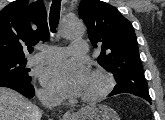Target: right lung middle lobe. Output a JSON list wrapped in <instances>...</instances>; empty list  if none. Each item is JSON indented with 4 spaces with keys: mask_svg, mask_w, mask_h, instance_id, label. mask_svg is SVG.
Here are the masks:
<instances>
[{
    "mask_svg": "<svg viewBox=\"0 0 165 120\" xmlns=\"http://www.w3.org/2000/svg\"><path fill=\"white\" fill-rule=\"evenodd\" d=\"M26 58L0 60V78L31 82L30 69L25 68Z\"/></svg>",
    "mask_w": 165,
    "mask_h": 120,
    "instance_id": "1",
    "label": "right lung middle lobe"
}]
</instances>
